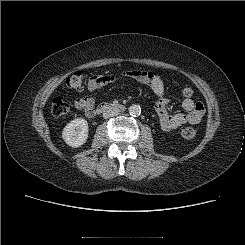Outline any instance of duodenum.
Segmentation results:
<instances>
[{
    "label": "duodenum",
    "instance_id": "obj_1",
    "mask_svg": "<svg viewBox=\"0 0 245 245\" xmlns=\"http://www.w3.org/2000/svg\"><path fill=\"white\" fill-rule=\"evenodd\" d=\"M126 109L124 104L116 103V102H104L97 106L95 110H93V115H98L106 111H115V112H124Z\"/></svg>",
    "mask_w": 245,
    "mask_h": 245
}]
</instances>
